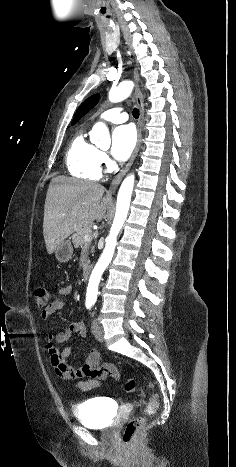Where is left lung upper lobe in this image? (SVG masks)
<instances>
[{"label": "left lung upper lobe", "mask_w": 236, "mask_h": 467, "mask_svg": "<svg viewBox=\"0 0 236 467\" xmlns=\"http://www.w3.org/2000/svg\"><path fill=\"white\" fill-rule=\"evenodd\" d=\"M100 99L99 94L92 95L88 99H86L77 109L75 116L72 121V125L77 123L82 116H84L87 112L90 111L91 108H93L97 103L98 100Z\"/></svg>", "instance_id": "obj_1"}]
</instances>
